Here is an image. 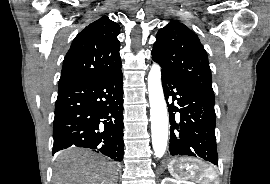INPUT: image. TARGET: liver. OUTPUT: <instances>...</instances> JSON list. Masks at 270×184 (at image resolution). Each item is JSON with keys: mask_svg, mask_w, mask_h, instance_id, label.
Segmentation results:
<instances>
[{"mask_svg": "<svg viewBox=\"0 0 270 184\" xmlns=\"http://www.w3.org/2000/svg\"><path fill=\"white\" fill-rule=\"evenodd\" d=\"M62 158L54 167L53 184H117L118 169L113 162L83 149L66 151Z\"/></svg>", "mask_w": 270, "mask_h": 184, "instance_id": "1", "label": "liver"}]
</instances>
